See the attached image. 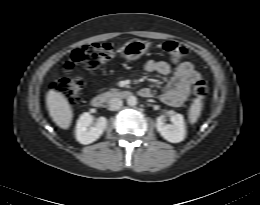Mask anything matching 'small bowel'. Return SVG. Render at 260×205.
Returning a JSON list of instances; mask_svg holds the SVG:
<instances>
[{
  "instance_id": "c3829d8e",
  "label": "small bowel",
  "mask_w": 260,
  "mask_h": 205,
  "mask_svg": "<svg viewBox=\"0 0 260 205\" xmlns=\"http://www.w3.org/2000/svg\"><path fill=\"white\" fill-rule=\"evenodd\" d=\"M145 70L151 74L170 76L160 100L167 106L180 107L188 98L191 86L200 80L199 72L190 62H182L172 69L169 63L161 60H149ZM140 95L149 97V88H142Z\"/></svg>"
}]
</instances>
